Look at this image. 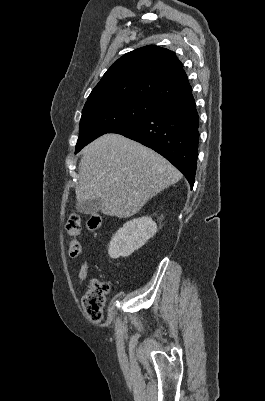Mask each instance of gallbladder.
I'll list each match as a JSON object with an SVG mask.
<instances>
[{
	"label": "gallbladder",
	"instance_id": "bac80fb5",
	"mask_svg": "<svg viewBox=\"0 0 265 401\" xmlns=\"http://www.w3.org/2000/svg\"><path fill=\"white\" fill-rule=\"evenodd\" d=\"M101 198H94V201H84V203H76V209L83 215H96L100 211Z\"/></svg>",
	"mask_w": 265,
	"mask_h": 401
}]
</instances>
